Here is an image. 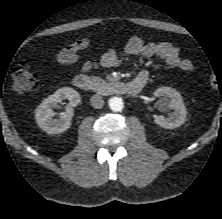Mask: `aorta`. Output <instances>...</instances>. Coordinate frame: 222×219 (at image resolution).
<instances>
[{"label": "aorta", "mask_w": 222, "mask_h": 219, "mask_svg": "<svg viewBox=\"0 0 222 219\" xmlns=\"http://www.w3.org/2000/svg\"><path fill=\"white\" fill-rule=\"evenodd\" d=\"M109 106L111 110L118 112L123 109L124 105H123V101L120 98L113 97L109 100Z\"/></svg>", "instance_id": "obj_1"}]
</instances>
